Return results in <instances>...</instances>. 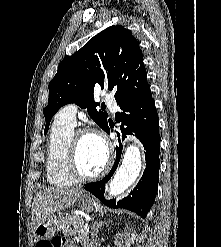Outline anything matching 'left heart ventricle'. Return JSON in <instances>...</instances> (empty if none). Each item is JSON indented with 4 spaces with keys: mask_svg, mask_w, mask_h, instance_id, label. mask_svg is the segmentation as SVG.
<instances>
[{
    "mask_svg": "<svg viewBox=\"0 0 221 247\" xmlns=\"http://www.w3.org/2000/svg\"><path fill=\"white\" fill-rule=\"evenodd\" d=\"M105 162L106 150L101 140L92 135L82 136L78 145V164L82 173L96 174Z\"/></svg>",
    "mask_w": 221,
    "mask_h": 247,
    "instance_id": "b2bd125f",
    "label": "left heart ventricle"
}]
</instances>
